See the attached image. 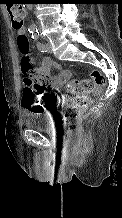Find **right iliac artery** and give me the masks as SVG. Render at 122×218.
<instances>
[{
  "label": "right iliac artery",
  "mask_w": 122,
  "mask_h": 218,
  "mask_svg": "<svg viewBox=\"0 0 122 218\" xmlns=\"http://www.w3.org/2000/svg\"><path fill=\"white\" fill-rule=\"evenodd\" d=\"M29 32H30V33H33V32H35V30H34V29H33V30H29Z\"/></svg>",
  "instance_id": "obj_1"
}]
</instances>
